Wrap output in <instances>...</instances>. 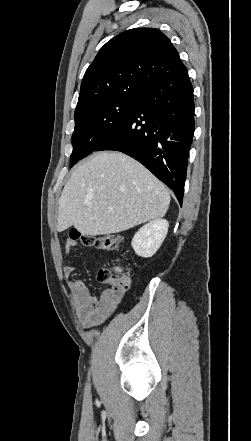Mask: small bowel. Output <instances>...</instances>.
<instances>
[{
    "mask_svg": "<svg viewBox=\"0 0 251 441\" xmlns=\"http://www.w3.org/2000/svg\"><path fill=\"white\" fill-rule=\"evenodd\" d=\"M76 245V241L67 240L65 252L68 253ZM74 271L75 267L73 265L64 267V273L67 276H71ZM70 288L74 297L78 320L86 328L98 325L110 317L124 295L123 291L108 288L99 297H96L91 293L86 282L81 279L73 280Z\"/></svg>",
    "mask_w": 251,
    "mask_h": 441,
    "instance_id": "small-bowel-1",
    "label": "small bowel"
}]
</instances>
